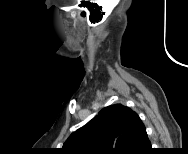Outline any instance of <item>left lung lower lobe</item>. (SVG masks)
Instances as JSON below:
<instances>
[{
	"instance_id": "left-lung-lower-lobe-1",
	"label": "left lung lower lobe",
	"mask_w": 188,
	"mask_h": 154,
	"mask_svg": "<svg viewBox=\"0 0 188 154\" xmlns=\"http://www.w3.org/2000/svg\"><path fill=\"white\" fill-rule=\"evenodd\" d=\"M151 143L148 139L146 129L140 117L133 115L132 130L126 147V154H149Z\"/></svg>"
}]
</instances>
